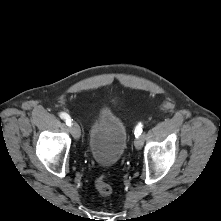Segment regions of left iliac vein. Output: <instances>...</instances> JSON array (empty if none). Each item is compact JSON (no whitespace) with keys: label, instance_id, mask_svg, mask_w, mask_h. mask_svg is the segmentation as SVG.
<instances>
[{"label":"left iliac vein","instance_id":"left-iliac-vein-1","mask_svg":"<svg viewBox=\"0 0 221 221\" xmlns=\"http://www.w3.org/2000/svg\"><path fill=\"white\" fill-rule=\"evenodd\" d=\"M134 145L137 149H140L143 145V139L141 137H137L135 139Z\"/></svg>","mask_w":221,"mask_h":221}]
</instances>
